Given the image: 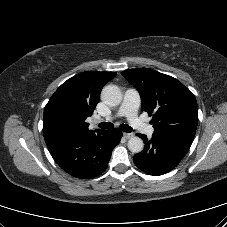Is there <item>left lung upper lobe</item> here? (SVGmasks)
Masks as SVG:
<instances>
[{"label": "left lung upper lobe", "mask_w": 227, "mask_h": 227, "mask_svg": "<svg viewBox=\"0 0 227 227\" xmlns=\"http://www.w3.org/2000/svg\"><path fill=\"white\" fill-rule=\"evenodd\" d=\"M122 75L140 93L142 108L154 133L193 141L198 124L194 94L177 79L148 68L130 69Z\"/></svg>", "instance_id": "1"}]
</instances>
